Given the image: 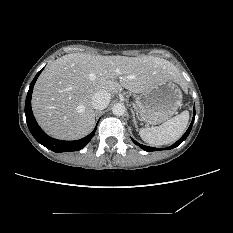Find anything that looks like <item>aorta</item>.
<instances>
[{"label":"aorta","instance_id":"aorta-1","mask_svg":"<svg viewBox=\"0 0 233 233\" xmlns=\"http://www.w3.org/2000/svg\"><path fill=\"white\" fill-rule=\"evenodd\" d=\"M126 111L125 105L123 103H116L112 108V113L115 116H122Z\"/></svg>","mask_w":233,"mask_h":233}]
</instances>
